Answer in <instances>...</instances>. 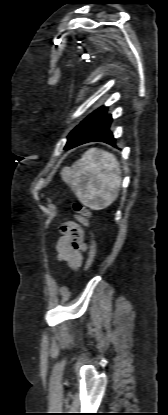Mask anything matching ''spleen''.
Here are the masks:
<instances>
[{"label": "spleen", "mask_w": 168, "mask_h": 415, "mask_svg": "<svg viewBox=\"0 0 168 415\" xmlns=\"http://www.w3.org/2000/svg\"><path fill=\"white\" fill-rule=\"evenodd\" d=\"M120 175L116 157L96 148L89 149L72 167H65L61 172L63 181L79 201L93 209L106 208L116 200Z\"/></svg>", "instance_id": "3e777b00"}]
</instances>
